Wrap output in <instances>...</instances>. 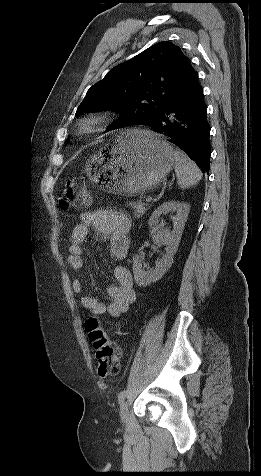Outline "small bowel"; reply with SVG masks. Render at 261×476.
<instances>
[{
    "instance_id": "small-bowel-1",
    "label": "small bowel",
    "mask_w": 261,
    "mask_h": 476,
    "mask_svg": "<svg viewBox=\"0 0 261 476\" xmlns=\"http://www.w3.org/2000/svg\"><path fill=\"white\" fill-rule=\"evenodd\" d=\"M82 223L77 224L70 235L67 262L71 269L80 271L84 266L82 245L95 232L99 237L109 240V255L115 261L124 259L129 248L128 233L131 229V219L121 211L100 209L85 212L81 216ZM115 283L108 288L109 303H103L90 296H83L81 303L84 308L95 316L108 313L111 317H119L125 313L136 300L131 272L122 265L113 268ZM76 294L83 292L80 279L72 282Z\"/></svg>"
}]
</instances>
